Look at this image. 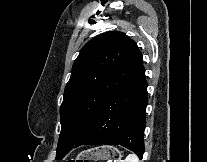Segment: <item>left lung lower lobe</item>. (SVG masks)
Returning <instances> with one entry per match:
<instances>
[{"label": "left lung lower lobe", "instance_id": "obj_1", "mask_svg": "<svg viewBox=\"0 0 207 162\" xmlns=\"http://www.w3.org/2000/svg\"><path fill=\"white\" fill-rule=\"evenodd\" d=\"M147 104V82L141 64L98 108L73 147L97 143L121 145L142 159Z\"/></svg>", "mask_w": 207, "mask_h": 162}]
</instances>
